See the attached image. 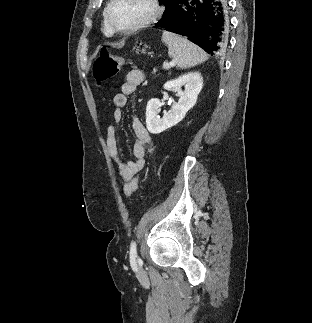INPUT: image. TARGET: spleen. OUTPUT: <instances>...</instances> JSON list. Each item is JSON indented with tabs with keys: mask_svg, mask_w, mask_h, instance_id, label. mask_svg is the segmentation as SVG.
<instances>
[{
	"mask_svg": "<svg viewBox=\"0 0 312 323\" xmlns=\"http://www.w3.org/2000/svg\"><path fill=\"white\" fill-rule=\"evenodd\" d=\"M162 42L168 46V54L170 58H173L174 64L182 70L197 66V64H203L208 60V54L203 52L199 46L189 42L187 38H182L178 34L173 32H166L163 30Z\"/></svg>",
	"mask_w": 312,
	"mask_h": 323,
	"instance_id": "1",
	"label": "spleen"
}]
</instances>
